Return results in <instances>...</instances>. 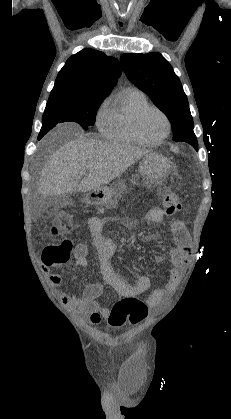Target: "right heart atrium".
<instances>
[{
    "label": "right heart atrium",
    "instance_id": "obj_1",
    "mask_svg": "<svg viewBox=\"0 0 231 419\" xmlns=\"http://www.w3.org/2000/svg\"><path fill=\"white\" fill-rule=\"evenodd\" d=\"M111 99L106 98L99 106L96 113V125L99 131L106 135L111 124Z\"/></svg>",
    "mask_w": 231,
    "mask_h": 419
}]
</instances>
